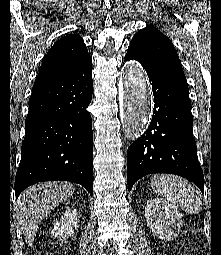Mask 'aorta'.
Returning a JSON list of instances; mask_svg holds the SVG:
<instances>
[{
	"label": "aorta",
	"mask_w": 221,
	"mask_h": 255,
	"mask_svg": "<svg viewBox=\"0 0 221 255\" xmlns=\"http://www.w3.org/2000/svg\"><path fill=\"white\" fill-rule=\"evenodd\" d=\"M119 102L126 136L134 141L144 133L152 110V95L141 65L128 63L120 84Z\"/></svg>",
	"instance_id": "obj_1"
}]
</instances>
